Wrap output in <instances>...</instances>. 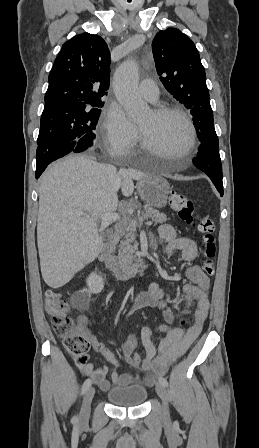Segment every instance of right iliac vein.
I'll return each instance as SVG.
<instances>
[{
    "label": "right iliac vein",
    "instance_id": "63e3f726",
    "mask_svg": "<svg viewBox=\"0 0 259 448\" xmlns=\"http://www.w3.org/2000/svg\"><path fill=\"white\" fill-rule=\"evenodd\" d=\"M95 394V389L93 387H89L86 391L85 396L83 398L80 415H79V423L86 424L90 417L91 411V402Z\"/></svg>",
    "mask_w": 259,
    "mask_h": 448
}]
</instances>
